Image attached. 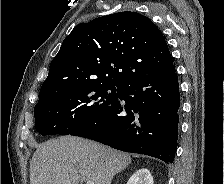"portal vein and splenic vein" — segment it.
<instances>
[{
    "mask_svg": "<svg viewBox=\"0 0 224 184\" xmlns=\"http://www.w3.org/2000/svg\"><path fill=\"white\" fill-rule=\"evenodd\" d=\"M86 184H94V182L93 181H87Z\"/></svg>",
    "mask_w": 224,
    "mask_h": 184,
    "instance_id": "18ae733b",
    "label": "portal vein and splenic vein"
}]
</instances>
